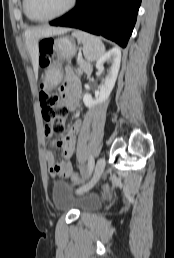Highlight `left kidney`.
I'll return each mask as SVG.
<instances>
[{
    "label": "left kidney",
    "instance_id": "left-kidney-1",
    "mask_svg": "<svg viewBox=\"0 0 174 258\" xmlns=\"http://www.w3.org/2000/svg\"><path fill=\"white\" fill-rule=\"evenodd\" d=\"M109 61L111 63V67L105 77L104 84L101 85L99 95L96 97V99H92V96L90 94H85L83 97V102L85 106L88 108H92L100 103L105 102L108 97L110 96L111 91L114 88L117 75L120 68V62H121V51L119 48H112L107 53L102 55L97 63L96 68L98 70H101L103 68V64L105 62Z\"/></svg>",
    "mask_w": 174,
    "mask_h": 258
}]
</instances>
